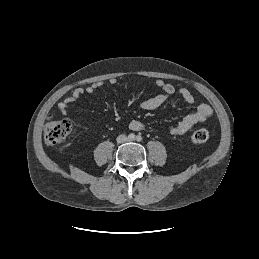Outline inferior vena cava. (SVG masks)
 <instances>
[{
  "label": "inferior vena cava",
  "mask_w": 259,
  "mask_h": 259,
  "mask_svg": "<svg viewBox=\"0 0 259 259\" xmlns=\"http://www.w3.org/2000/svg\"><path fill=\"white\" fill-rule=\"evenodd\" d=\"M128 140V138H127V136H125V135H119L118 137H117V142L118 143H124V142H126Z\"/></svg>",
  "instance_id": "inferior-vena-cava-1"
}]
</instances>
